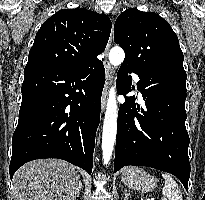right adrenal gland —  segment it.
I'll use <instances>...</instances> for the list:
<instances>
[{
  "label": "right adrenal gland",
  "mask_w": 205,
  "mask_h": 200,
  "mask_svg": "<svg viewBox=\"0 0 205 200\" xmlns=\"http://www.w3.org/2000/svg\"><path fill=\"white\" fill-rule=\"evenodd\" d=\"M81 191H83V185H82L81 180H79V189L77 191V195L75 196L74 200H76V198L79 197Z\"/></svg>",
  "instance_id": "2a0ac1e0"
}]
</instances>
